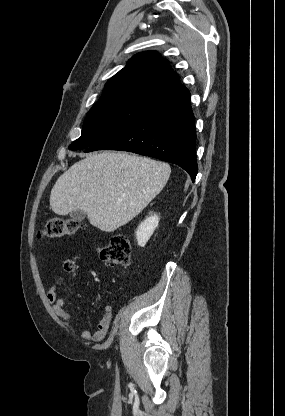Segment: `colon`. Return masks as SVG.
I'll use <instances>...</instances> for the list:
<instances>
[{"label":"colon","mask_w":285,"mask_h":416,"mask_svg":"<svg viewBox=\"0 0 285 416\" xmlns=\"http://www.w3.org/2000/svg\"><path fill=\"white\" fill-rule=\"evenodd\" d=\"M82 228V224L74 219L53 217L49 219L39 232V237L59 239L72 236ZM131 247L128 238L124 235H114L110 243L100 251L101 260L109 266L127 267L130 264ZM64 269L73 272L75 264L66 260Z\"/></svg>","instance_id":"colon-1"}]
</instances>
